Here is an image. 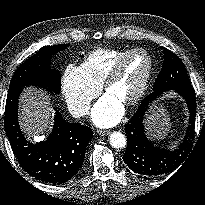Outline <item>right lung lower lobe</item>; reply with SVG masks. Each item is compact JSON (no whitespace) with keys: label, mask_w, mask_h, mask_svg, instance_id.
<instances>
[{"label":"right lung lower lobe","mask_w":205,"mask_h":205,"mask_svg":"<svg viewBox=\"0 0 205 205\" xmlns=\"http://www.w3.org/2000/svg\"><path fill=\"white\" fill-rule=\"evenodd\" d=\"M22 89L8 92L4 127L14 154L22 168L35 179L62 184L82 167L85 150L92 139L91 128L69 123L55 109L53 130L47 140L33 144L27 141L18 124V98Z\"/></svg>","instance_id":"98d812e1"}]
</instances>
